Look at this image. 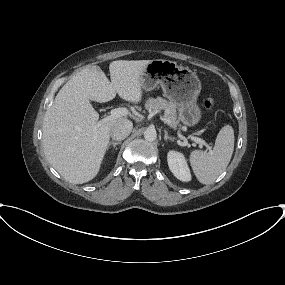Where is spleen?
<instances>
[{
  "instance_id": "1",
  "label": "spleen",
  "mask_w": 285,
  "mask_h": 285,
  "mask_svg": "<svg viewBox=\"0 0 285 285\" xmlns=\"http://www.w3.org/2000/svg\"><path fill=\"white\" fill-rule=\"evenodd\" d=\"M234 150V130L225 125L219 131L212 152L194 150L189 161L198 181L202 184L213 183L227 168Z\"/></svg>"
}]
</instances>
